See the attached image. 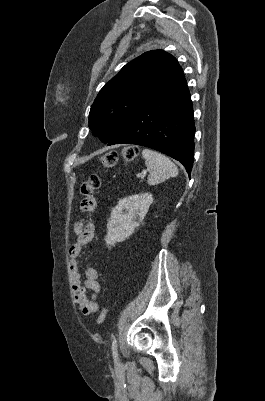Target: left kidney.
<instances>
[{
  "instance_id": "5707ae66",
  "label": "left kidney",
  "mask_w": 265,
  "mask_h": 401,
  "mask_svg": "<svg viewBox=\"0 0 265 401\" xmlns=\"http://www.w3.org/2000/svg\"><path fill=\"white\" fill-rule=\"evenodd\" d=\"M152 203L151 192H139V194L120 198L107 223V237L104 239L106 245L114 247L115 243L126 241L134 233L136 227L142 223Z\"/></svg>"
}]
</instances>
